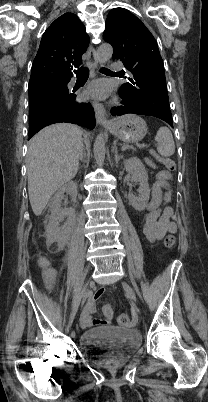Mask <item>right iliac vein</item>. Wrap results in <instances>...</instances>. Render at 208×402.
Returning <instances> with one entry per match:
<instances>
[{
    "instance_id": "63e3f726",
    "label": "right iliac vein",
    "mask_w": 208,
    "mask_h": 402,
    "mask_svg": "<svg viewBox=\"0 0 208 402\" xmlns=\"http://www.w3.org/2000/svg\"><path fill=\"white\" fill-rule=\"evenodd\" d=\"M89 286H90V283L88 282L86 284L85 289H84L83 294H82L81 306L84 305V303L86 302L87 297L89 296V293H90Z\"/></svg>"
}]
</instances>
